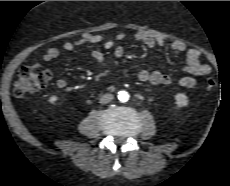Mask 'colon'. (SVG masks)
I'll list each match as a JSON object with an SVG mask.
<instances>
[{
	"label": "colon",
	"instance_id": "5ec220e1",
	"mask_svg": "<svg viewBox=\"0 0 230 186\" xmlns=\"http://www.w3.org/2000/svg\"><path fill=\"white\" fill-rule=\"evenodd\" d=\"M51 80L49 70H38L33 67L23 68L13 85V93L17 97H24L44 89ZM216 81L212 78L205 80V88L212 91L216 88Z\"/></svg>",
	"mask_w": 230,
	"mask_h": 186
}]
</instances>
